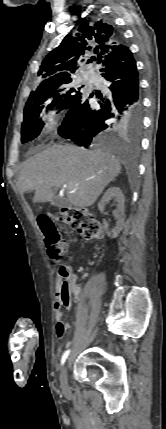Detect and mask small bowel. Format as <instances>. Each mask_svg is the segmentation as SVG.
<instances>
[{
  "label": "small bowel",
  "mask_w": 166,
  "mask_h": 429,
  "mask_svg": "<svg viewBox=\"0 0 166 429\" xmlns=\"http://www.w3.org/2000/svg\"><path fill=\"white\" fill-rule=\"evenodd\" d=\"M73 256L70 257V260ZM62 278L68 279L71 283H74V277L72 276V267L70 264L62 265L57 273V293L55 300L56 310V335L58 338H63L69 325L63 320V309H69L71 306L70 293L65 292L63 284L60 282Z\"/></svg>",
  "instance_id": "small-bowel-1"
}]
</instances>
